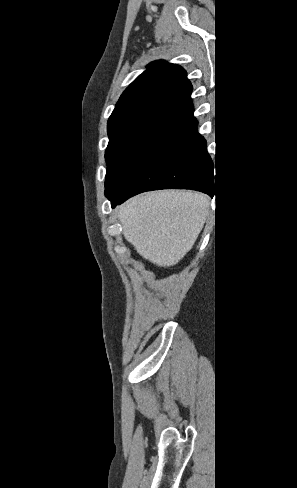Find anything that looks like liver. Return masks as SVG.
<instances>
[{
  "label": "liver",
  "instance_id": "liver-1",
  "mask_svg": "<svg viewBox=\"0 0 297 488\" xmlns=\"http://www.w3.org/2000/svg\"><path fill=\"white\" fill-rule=\"evenodd\" d=\"M208 212L207 196L179 190L136 196L117 210L125 239L161 267L176 265L191 250Z\"/></svg>",
  "mask_w": 297,
  "mask_h": 488
}]
</instances>
